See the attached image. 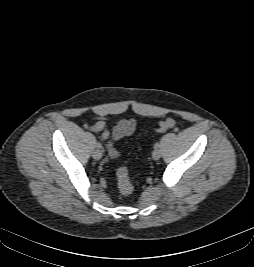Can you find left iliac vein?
Here are the masks:
<instances>
[{"label":"left iliac vein","mask_w":254,"mask_h":267,"mask_svg":"<svg viewBox=\"0 0 254 267\" xmlns=\"http://www.w3.org/2000/svg\"><path fill=\"white\" fill-rule=\"evenodd\" d=\"M160 157H161L160 149H158V148L154 149V151L152 152V158L154 160H158Z\"/></svg>","instance_id":"4c4485c4"}]
</instances>
